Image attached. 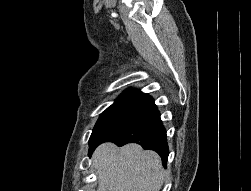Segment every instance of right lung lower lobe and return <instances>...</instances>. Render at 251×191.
Segmentation results:
<instances>
[{
  "mask_svg": "<svg viewBox=\"0 0 251 191\" xmlns=\"http://www.w3.org/2000/svg\"><path fill=\"white\" fill-rule=\"evenodd\" d=\"M106 142H113L118 146L128 143L140 144L145 150L157 152L162 159V164L164 166L167 164L169 149L166 131L155 104L140 113Z\"/></svg>",
  "mask_w": 251,
  "mask_h": 191,
  "instance_id": "98d812e1",
  "label": "right lung lower lobe"
}]
</instances>
